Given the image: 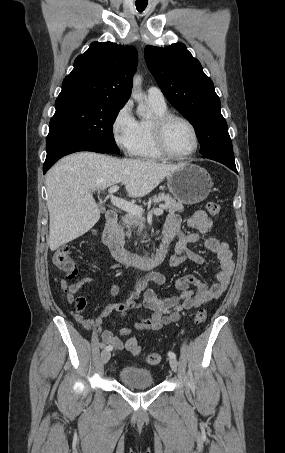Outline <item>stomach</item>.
Here are the masks:
<instances>
[{"label":"stomach","mask_w":285,"mask_h":453,"mask_svg":"<svg viewBox=\"0 0 285 453\" xmlns=\"http://www.w3.org/2000/svg\"><path fill=\"white\" fill-rule=\"evenodd\" d=\"M167 186L179 203L193 205L208 197L213 183L207 170L195 164L184 163L167 176Z\"/></svg>","instance_id":"stomach-1"}]
</instances>
